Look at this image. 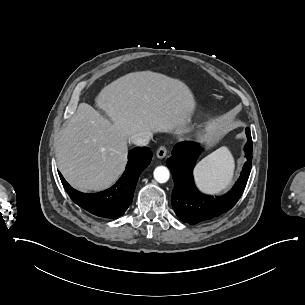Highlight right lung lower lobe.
Here are the masks:
<instances>
[{
	"label": "right lung lower lobe",
	"mask_w": 305,
	"mask_h": 305,
	"mask_svg": "<svg viewBox=\"0 0 305 305\" xmlns=\"http://www.w3.org/2000/svg\"><path fill=\"white\" fill-rule=\"evenodd\" d=\"M151 159L152 153L147 147L131 150L124 175L110 189L96 194L74 190L60 172L59 176L66 192L77 205L94 215L115 218L123 215L132 203L137 180Z\"/></svg>",
	"instance_id": "obj_1"
}]
</instances>
